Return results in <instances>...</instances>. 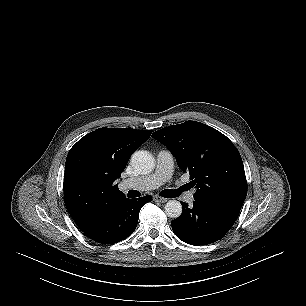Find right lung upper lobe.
Segmentation results:
<instances>
[{
	"mask_svg": "<svg viewBox=\"0 0 306 306\" xmlns=\"http://www.w3.org/2000/svg\"><path fill=\"white\" fill-rule=\"evenodd\" d=\"M152 130L99 128L69 151L64 175L65 205L82 229L96 222L126 198L116 179L132 153Z\"/></svg>",
	"mask_w": 306,
	"mask_h": 306,
	"instance_id": "cb5924a9",
	"label": "right lung upper lobe"
}]
</instances>
